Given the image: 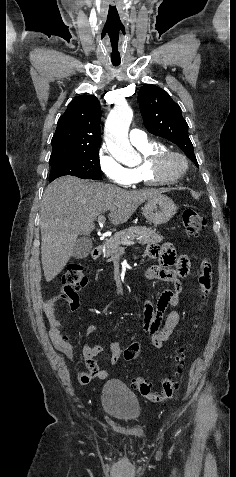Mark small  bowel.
<instances>
[{
	"mask_svg": "<svg viewBox=\"0 0 236 477\" xmlns=\"http://www.w3.org/2000/svg\"><path fill=\"white\" fill-rule=\"evenodd\" d=\"M147 257L150 259H158L156 265L151 266L147 275L150 279H155L171 284V287L165 289L160 294L155 304L146 301L143 306L142 328L150 336V344L155 349H160L163 344L174 333L180 316L176 310L169 312L163 321V317L169 308L179 305L180 294L183 291L181 278L184 277L190 267V260L187 255H177L174 247L170 243L162 245L150 244L146 249ZM188 258L186 272H181L185 266L182 263V257ZM64 300L70 310H76L79 307L80 299L76 294H66L61 292L59 295L49 298L43 302V312L49 324V336L55 347L68 356L72 355V347L61 332V324L58 321L55 308L56 304ZM96 325H88L85 329L86 335H93L98 332ZM110 362L113 365L118 364L122 347L117 342L109 345ZM106 348L102 345H84L82 349L83 357L88 371L78 374L80 384H88L92 379H106L109 373L100 368L96 362V357L102 354Z\"/></svg>",
	"mask_w": 236,
	"mask_h": 477,
	"instance_id": "1",
	"label": "small bowel"
}]
</instances>
